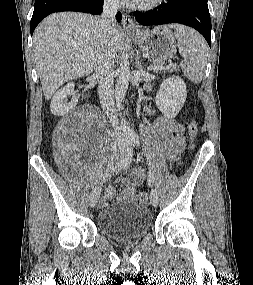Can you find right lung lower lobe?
<instances>
[{
  "instance_id": "right-lung-lower-lobe-1",
  "label": "right lung lower lobe",
  "mask_w": 253,
  "mask_h": 285,
  "mask_svg": "<svg viewBox=\"0 0 253 285\" xmlns=\"http://www.w3.org/2000/svg\"><path fill=\"white\" fill-rule=\"evenodd\" d=\"M102 5L103 0H35L34 12L30 23L31 35L41 20L51 13L60 11H78L101 14ZM116 19L120 21V13H117Z\"/></svg>"
}]
</instances>
